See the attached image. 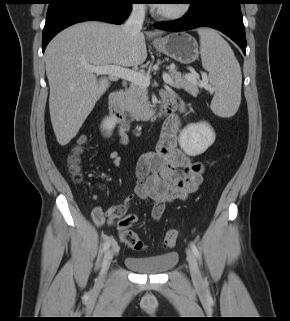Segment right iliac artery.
<instances>
[{"instance_id":"82829eb1","label":"right iliac artery","mask_w":290,"mask_h":321,"mask_svg":"<svg viewBox=\"0 0 290 321\" xmlns=\"http://www.w3.org/2000/svg\"><path fill=\"white\" fill-rule=\"evenodd\" d=\"M110 242H111L110 240H107V241L104 243V246H103V251H104V252L109 248Z\"/></svg>"}]
</instances>
